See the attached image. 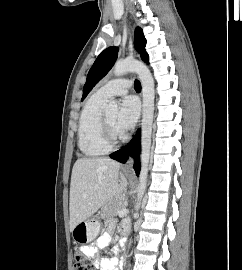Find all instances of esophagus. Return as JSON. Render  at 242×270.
Instances as JSON below:
<instances>
[{
	"instance_id": "obj_1",
	"label": "esophagus",
	"mask_w": 242,
	"mask_h": 270,
	"mask_svg": "<svg viewBox=\"0 0 242 270\" xmlns=\"http://www.w3.org/2000/svg\"><path fill=\"white\" fill-rule=\"evenodd\" d=\"M133 165V159L130 157L126 163L127 169H130Z\"/></svg>"
}]
</instances>
